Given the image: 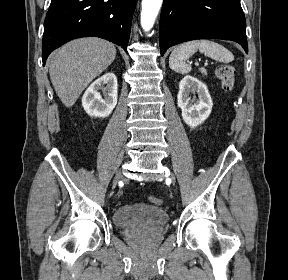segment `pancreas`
<instances>
[{
	"instance_id": "pancreas-1",
	"label": "pancreas",
	"mask_w": 288,
	"mask_h": 280,
	"mask_svg": "<svg viewBox=\"0 0 288 280\" xmlns=\"http://www.w3.org/2000/svg\"><path fill=\"white\" fill-rule=\"evenodd\" d=\"M200 72H201L203 75H207L206 69L201 68V69H200Z\"/></svg>"
}]
</instances>
